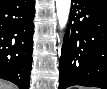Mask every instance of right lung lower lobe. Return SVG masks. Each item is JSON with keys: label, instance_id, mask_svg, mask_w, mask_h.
Returning a JSON list of instances; mask_svg holds the SVG:
<instances>
[{"label": "right lung lower lobe", "instance_id": "right-lung-lower-lobe-1", "mask_svg": "<svg viewBox=\"0 0 107 89\" xmlns=\"http://www.w3.org/2000/svg\"><path fill=\"white\" fill-rule=\"evenodd\" d=\"M34 0H0V78L28 89L32 65Z\"/></svg>", "mask_w": 107, "mask_h": 89}]
</instances>
